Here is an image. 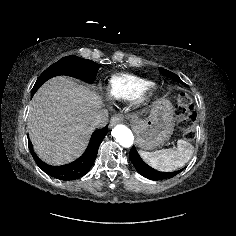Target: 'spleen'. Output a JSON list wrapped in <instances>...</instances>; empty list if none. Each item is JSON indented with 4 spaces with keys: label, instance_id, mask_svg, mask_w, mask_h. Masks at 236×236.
Wrapping results in <instances>:
<instances>
[{
    "label": "spleen",
    "instance_id": "3e777b00",
    "mask_svg": "<svg viewBox=\"0 0 236 236\" xmlns=\"http://www.w3.org/2000/svg\"><path fill=\"white\" fill-rule=\"evenodd\" d=\"M193 153L194 146L182 139L177 141V149L139 152L140 156L146 163L163 172H171L184 166L191 159Z\"/></svg>",
    "mask_w": 236,
    "mask_h": 236
}]
</instances>
